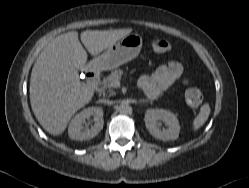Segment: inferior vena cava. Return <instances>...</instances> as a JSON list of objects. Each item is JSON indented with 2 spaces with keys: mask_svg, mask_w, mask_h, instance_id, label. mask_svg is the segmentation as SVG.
I'll return each mask as SVG.
<instances>
[{
  "mask_svg": "<svg viewBox=\"0 0 249 188\" xmlns=\"http://www.w3.org/2000/svg\"><path fill=\"white\" fill-rule=\"evenodd\" d=\"M103 103L111 105L113 102L111 100H102Z\"/></svg>",
  "mask_w": 249,
  "mask_h": 188,
  "instance_id": "1",
  "label": "inferior vena cava"
}]
</instances>
